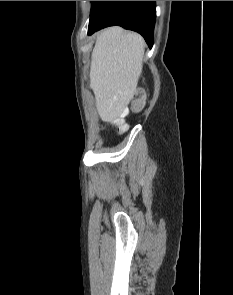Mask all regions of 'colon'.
Here are the masks:
<instances>
[{
	"label": "colon",
	"mask_w": 233,
	"mask_h": 295,
	"mask_svg": "<svg viewBox=\"0 0 233 295\" xmlns=\"http://www.w3.org/2000/svg\"><path fill=\"white\" fill-rule=\"evenodd\" d=\"M145 102V95L142 91H138L135 93L131 107L134 111H138L142 108L143 104ZM124 129V126L122 124H119V130L122 131Z\"/></svg>",
	"instance_id": "1"
}]
</instances>
